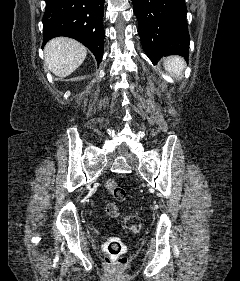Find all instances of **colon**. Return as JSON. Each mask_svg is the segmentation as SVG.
<instances>
[{
    "instance_id": "5ec220e1",
    "label": "colon",
    "mask_w": 240,
    "mask_h": 281,
    "mask_svg": "<svg viewBox=\"0 0 240 281\" xmlns=\"http://www.w3.org/2000/svg\"><path fill=\"white\" fill-rule=\"evenodd\" d=\"M105 187L107 192L117 201H124L127 198L126 191L114 180H107ZM106 213L110 218H118L120 216L119 208L114 203L107 204ZM125 225L130 231L137 232L141 228L142 221L138 216L130 215L125 218ZM104 253L106 262L113 267L120 268L125 266L128 262L123 246L118 241L107 243Z\"/></svg>"
}]
</instances>
